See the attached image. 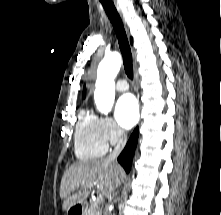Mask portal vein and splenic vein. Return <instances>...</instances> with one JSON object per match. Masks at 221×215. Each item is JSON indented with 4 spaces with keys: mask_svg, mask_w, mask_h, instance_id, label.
<instances>
[{
    "mask_svg": "<svg viewBox=\"0 0 221 215\" xmlns=\"http://www.w3.org/2000/svg\"><path fill=\"white\" fill-rule=\"evenodd\" d=\"M87 186L92 187L93 185L92 184H88ZM100 199H102V197H100Z\"/></svg>",
    "mask_w": 221,
    "mask_h": 215,
    "instance_id": "18ae733b",
    "label": "portal vein and splenic vein"
}]
</instances>
